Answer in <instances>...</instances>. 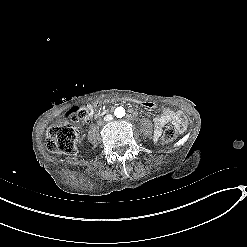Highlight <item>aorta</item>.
Returning a JSON list of instances; mask_svg holds the SVG:
<instances>
[{
    "mask_svg": "<svg viewBox=\"0 0 247 247\" xmlns=\"http://www.w3.org/2000/svg\"><path fill=\"white\" fill-rule=\"evenodd\" d=\"M114 114L117 118H122L125 116V109L123 107H117Z\"/></svg>",
    "mask_w": 247,
    "mask_h": 247,
    "instance_id": "aorta-1",
    "label": "aorta"
}]
</instances>
